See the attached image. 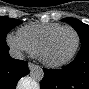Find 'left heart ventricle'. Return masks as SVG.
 I'll list each match as a JSON object with an SVG mask.
<instances>
[{
	"mask_svg": "<svg viewBox=\"0 0 89 89\" xmlns=\"http://www.w3.org/2000/svg\"><path fill=\"white\" fill-rule=\"evenodd\" d=\"M76 44V35L72 30L59 32L47 46L44 55L48 60L59 61L70 55Z\"/></svg>",
	"mask_w": 89,
	"mask_h": 89,
	"instance_id": "b2bd125f",
	"label": "left heart ventricle"
}]
</instances>
